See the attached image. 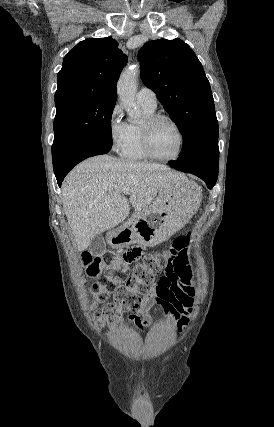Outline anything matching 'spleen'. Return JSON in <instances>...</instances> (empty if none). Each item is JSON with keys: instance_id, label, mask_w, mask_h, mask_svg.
<instances>
[{"instance_id": "obj_1", "label": "spleen", "mask_w": 274, "mask_h": 427, "mask_svg": "<svg viewBox=\"0 0 274 427\" xmlns=\"http://www.w3.org/2000/svg\"><path fill=\"white\" fill-rule=\"evenodd\" d=\"M196 186H197V184H196ZM199 198H200V200H201V192H200V188H199Z\"/></svg>"}]
</instances>
